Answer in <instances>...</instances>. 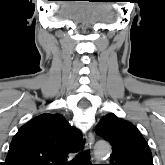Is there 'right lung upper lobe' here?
I'll list each match as a JSON object with an SVG mask.
<instances>
[{
    "mask_svg": "<svg viewBox=\"0 0 165 165\" xmlns=\"http://www.w3.org/2000/svg\"><path fill=\"white\" fill-rule=\"evenodd\" d=\"M81 133L60 114H41L13 137L4 165H66L69 153L79 151Z\"/></svg>",
    "mask_w": 165,
    "mask_h": 165,
    "instance_id": "1",
    "label": "right lung upper lobe"
}]
</instances>
